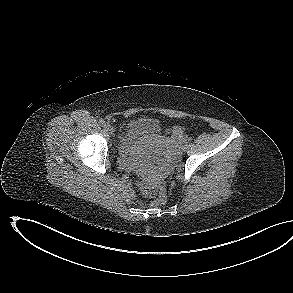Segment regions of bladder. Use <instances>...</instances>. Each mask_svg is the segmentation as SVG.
<instances>
[{
  "label": "bladder",
  "instance_id": "bladder-1",
  "mask_svg": "<svg viewBox=\"0 0 293 293\" xmlns=\"http://www.w3.org/2000/svg\"><path fill=\"white\" fill-rule=\"evenodd\" d=\"M159 131L160 124L156 119L149 117L131 119L124 130L120 150H125L145 138L155 137Z\"/></svg>",
  "mask_w": 293,
  "mask_h": 293
}]
</instances>
